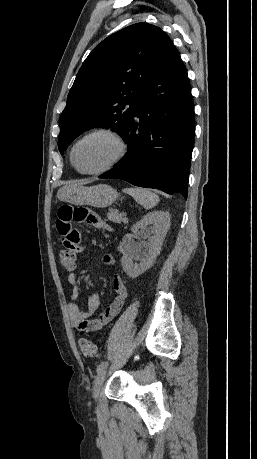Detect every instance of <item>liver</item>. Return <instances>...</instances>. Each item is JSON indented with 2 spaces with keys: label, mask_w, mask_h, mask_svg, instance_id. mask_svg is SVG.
<instances>
[{
  "label": "liver",
  "mask_w": 257,
  "mask_h": 459,
  "mask_svg": "<svg viewBox=\"0 0 257 459\" xmlns=\"http://www.w3.org/2000/svg\"><path fill=\"white\" fill-rule=\"evenodd\" d=\"M85 182H82V183H79V184H74V185H69V186H75V185H82L84 184Z\"/></svg>",
  "instance_id": "liver-1"
}]
</instances>
